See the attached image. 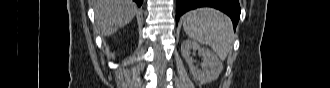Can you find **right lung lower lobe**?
I'll return each mask as SVG.
<instances>
[{
	"instance_id": "98d812e1",
	"label": "right lung lower lobe",
	"mask_w": 330,
	"mask_h": 88,
	"mask_svg": "<svg viewBox=\"0 0 330 88\" xmlns=\"http://www.w3.org/2000/svg\"><path fill=\"white\" fill-rule=\"evenodd\" d=\"M140 7L143 3V0H133Z\"/></svg>"
}]
</instances>
